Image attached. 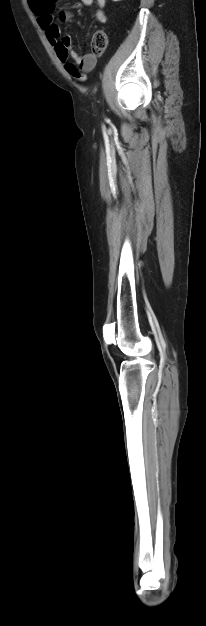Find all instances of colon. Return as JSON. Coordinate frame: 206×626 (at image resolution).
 <instances>
[{"label":"colon","instance_id":"obj_1","mask_svg":"<svg viewBox=\"0 0 206 626\" xmlns=\"http://www.w3.org/2000/svg\"><path fill=\"white\" fill-rule=\"evenodd\" d=\"M107 45H108V38H107L106 33L102 30L96 31L91 41V49H92L93 55L101 56L105 52ZM83 80H85L84 77H83Z\"/></svg>","mask_w":206,"mask_h":626}]
</instances>
